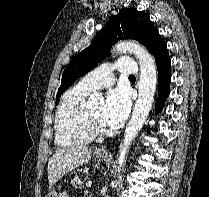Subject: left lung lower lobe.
<instances>
[{
    "label": "left lung lower lobe",
    "instance_id": "0a47b994",
    "mask_svg": "<svg viewBox=\"0 0 209 197\" xmlns=\"http://www.w3.org/2000/svg\"><path fill=\"white\" fill-rule=\"evenodd\" d=\"M156 58L159 84H158V99L155 105V112L158 113L164 106L165 100L169 95V86L171 81L170 72V57L166 44L161 43L153 52Z\"/></svg>",
    "mask_w": 209,
    "mask_h": 197
}]
</instances>
